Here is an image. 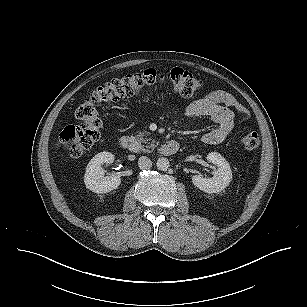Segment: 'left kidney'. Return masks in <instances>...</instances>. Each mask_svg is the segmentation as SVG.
<instances>
[{"instance_id":"1","label":"left kidney","mask_w":307,"mask_h":307,"mask_svg":"<svg viewBox=\"0 0 307 307\" xmlns=\"http://www.w3.org/2000/svg\"><path fill=\"white\" fill-rule=\"evenodd\" d=\"M207 160L217 166L212 178H204L202 175H194L192 183L194 186L206 193H218L224 190L232 179V171L229 163L217 152L207 155Z\"/></svg>"}]
</instances>
